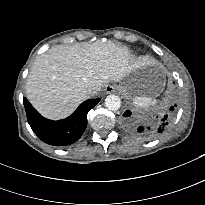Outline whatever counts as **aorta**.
Segmentation results:
<instances>
[{
  "label": "aorta",
  "instance_id": "1",
  "mask_svg": "<svg viewBox=\"0 0 205 205\" xmlns=\"http://www.w3.org/2000/svg\"><path fill=\"white\" fill-rule=\"evenodd\" d=\"M105 106L111 111H116L121 107V100L119 96L111 94L105 99Z\"/></svg>",
  "mask_w": 205,
  "mask_h": 205
}]
</instances>
